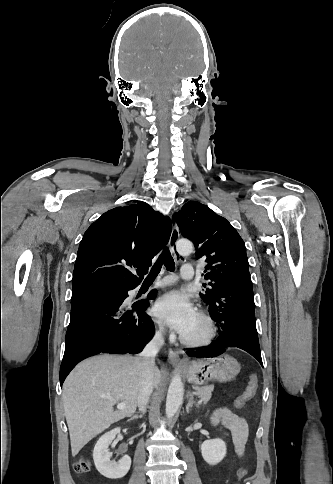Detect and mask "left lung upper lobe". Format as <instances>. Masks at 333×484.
Masks as SVG:
<instances>
[{"mask_svg":"<svg viewBox=\"0 0 333 484\" xmlns=\"http://www.w3.org/2000/svg\"><path fill=\"white\" fill-rule=\"evenodd\" d=\"M172 219L182 235L197 247L196 257L206 258L203 276L211 282L200 296L209 306L215 304L220 276L227 270L249 265L244 241L225 218L196 201L187 202Z\"/></svg>","mask_w":333,"mask_h":484,"instance_id":"obj_1","label":"left lung upper lobe"}]
</instances>
